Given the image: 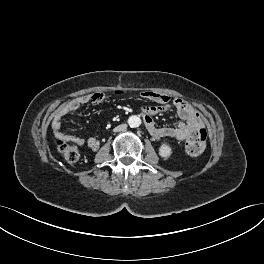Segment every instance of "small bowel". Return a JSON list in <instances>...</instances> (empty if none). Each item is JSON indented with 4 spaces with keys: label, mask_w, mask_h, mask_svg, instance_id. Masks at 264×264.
Segmentation results:
<instances>
[{
    "label": "small bowel",
    "mask_w": 264,
    "mask_h": 264,
    "mask_svg": "<svg viewBox=\"0 0 264 264\" xmlns=\"http://www.w3.org/2000/svg\"><path fill=\"white\" fill-rule=\"evenodd\" d=\"M142 95L144 98L160 105L146 106L142 108V118L144 124L150 135L155 139L169 137L182 141L189 138L197 130L203 127V123L199 114L193 109V107H191L181 99H175L173 101V105L181 120L175 123V125L173 126H157L153 119V116L168 108L170 98L164 94L152 91H145L142 93ZM104 98L105 95L103 93H95L92 95L78 97L62 104L56 111L52 120V129L55 136L59 139L72 141L80 146L87 145L94 151L97 150L100 143L96 138L92 137L89 139H84L76 135L63 133L61 120L65 115L78 110L81 106L87 103H100Z\"/></svg>",
    "instance_id": "c3829d8e"
}]
</instances>
